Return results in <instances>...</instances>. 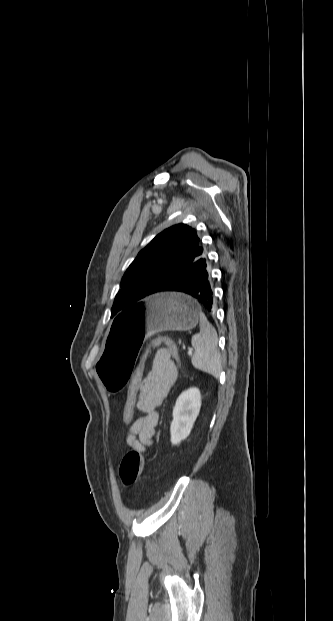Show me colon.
Listing matches in <instances>:
<instances>
[{
    "instance_id": "5ec220e1",
    "label": "colon",
    "mask_w": 333,
    "mask_h": 621,
    "mask_svg": "<svg viewBox=\"0 0 333 621\" xmlns=\"http://www.w3.org/2000/svg\"><path fill=\"white\" fill-rule=\"evenodd\" d=\"M159 342L160 340H157L154 344H158ZM167 345L169 346L173 357L177 360L178 353L176 348L169 342H167ZM143 373L144 365L143 362H141L130 376L126 400L122 412L123 420L125 422L130 423L133 421L134 413L137 409V398L143 380ZM143 468L144 460L140 452L136 450L127 452L121 460L119 467V477L122 484L124 486L133 485L142 474Z\"/></svg>"
}]
</instances>
